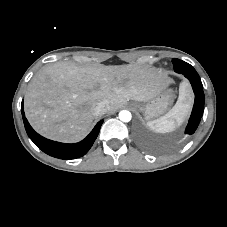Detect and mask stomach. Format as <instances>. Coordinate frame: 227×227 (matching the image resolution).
Returning <instances> with one entry per match:
<instances>
[{"mask_svg": "<svg viewBox=\"0 0 227 227\" xmlns=\"http://www.w3.org/2000/svg\"><path fill=\"white\" fill-rule=\"evenodd\" d=\"M174 94L171 89H165L156 97L145 102H131L136 111L144 115L145 120H150L164 114L172 104Z\"/></svg>", "mask_w": 227, "mask_h": 227, "instance_id": "0dacf381", "label": "stomach"}]
</instances>
